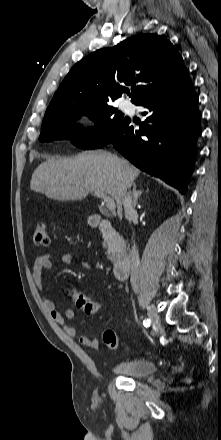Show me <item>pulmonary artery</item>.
Masks as SVG:
<instances>
[{
	"mask_svg": "<svg viewBox=\"0 0 221 440\" xmlns=\"http://www.w3.org/2000/svg\"><path fill=\"white\" fill-rule=\"evenodd\" d=\"M121 107H122V109H124V110H131L132 109V105H131V103L129 102V101H123L122 103H121Z\"/></svg>",
	"mask_w": 221,
	"mask_h": 440,
	"instance_id": "e3ab8cb5",
	"label": "pulmonary artery"
}]
</instances>
